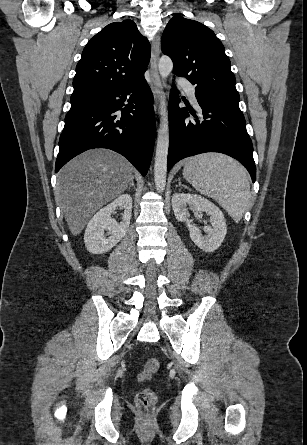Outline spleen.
I'll return each instance as SVG.
<instances>
[{
    "label": "spleen",
    "mask_w": 307,
    "mask_h": 445,
    "mask_svg": "<svg viewBox=\"0 0 307 445\" xmlns=\"http://www.w3.org/2000/svg\"><path fill=\"white\" fill-rule=\"evenodd\" d=\"M183 176L201 194L214 198L239 223L252 204L246 168L221 152H203L185 162Z\"/></svg>",
    "instance_id": "spleen-1"
}]
</instances>
